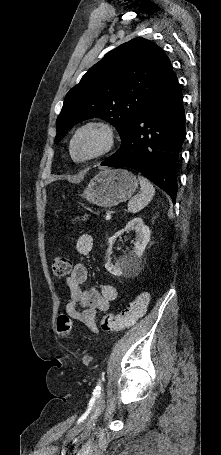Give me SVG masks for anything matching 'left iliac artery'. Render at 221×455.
Returning <instances> with one entry per match:
<instances>
[{
	"mask_svg": "<svg viewBox=\"0 0 221 455\" xmlns=\"http://www.w3.org/2000/svg\"><path fill=\"white\" fill-rule=\"evenodd\" d=\"M96 389L100 390L101 389V382L99 381L98 385L96 386Z\"/></svg>",
	"mask_w": 221,
	"mask_h": 455,
	"instance_id": "obj_1",
	"label": "left iliac artery"
}]
</instances>
